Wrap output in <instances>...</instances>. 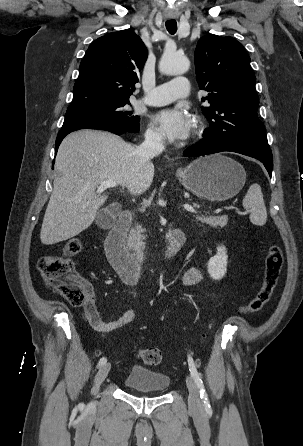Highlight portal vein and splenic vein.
Returning a JSON list of instances; mask_svg holds the SVG:
<instances>
[{
    "label": "portal vein and splenic vein",
    "mask_w": 303,
    "mask_h": 446,
    "mask_svg": "<svg viewBox=\"0 0 303 446\" xmlns=\"http://www.w3.org/2000/svg\"><path fill=\"white\" fill-rule=\"evenodd\" d=\"M117 186V182L113 181V180H105V181H101L99 187L97 188V193H100L102 191H104L107 188H113ZM184 208L185 210L191 212V213H196L195 209L189 205V204H184Z\"/></svg>",
    "instance_id": "obj_1"
}]
</instances>
